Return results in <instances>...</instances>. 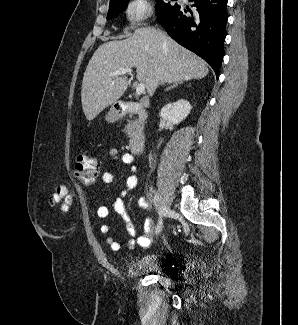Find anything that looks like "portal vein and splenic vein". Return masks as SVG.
I'll list each match as a JSON object with an SVG mask.
<instances>
[{
    "label": "portal vein and splenic vein",
    "mask_w": 298,
    "mask_h": 325,
    "mask_svg": "<svg viewBox=\"0 0 298 325\" xmlns=\"http://www.w3.org/2000/svg\"><path fill=\"white\" fill-rule=\"evenodd\" d=\"M118 74H132V68H118V70L110 72L109 76H118ZM143 92H145V84L140 82V84H137L136 86V94L140 96V94H143Z\"/></svg>",
    "instance_id": "1"
}]
</instances>
